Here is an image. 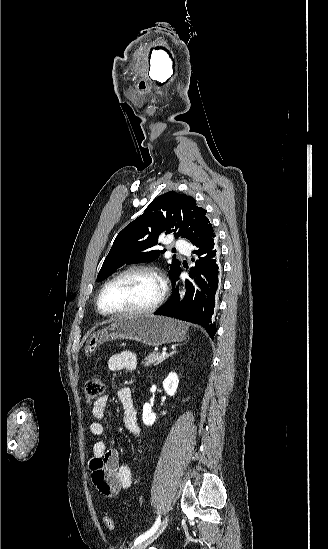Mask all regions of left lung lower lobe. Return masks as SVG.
<instances>
[{
  "label": "left lung lower lobe",
  "instance_id": "0a47b994",
  "mask_svg": "<svg viewBox=\"0 0 328 549\" xmlns=\"http://www.w3.org/2000/svg\"><path fill=\"white\" fill-rule=\"evenodd\" d=\"M193 253L197 255V259H193L196 264L189 270L192 282L185 281L186 293L183 300L179 297L178 288H173L169 301L155 314L200 324L213 339L216 333L213 315L221 289L220 252L215 235L198 246ZM178 278L179 274L172 281L173 285Z\"/></svg>",
  "mask_w": 328,
  "mask_h": 549
}]
</instances>
